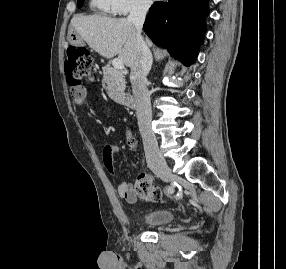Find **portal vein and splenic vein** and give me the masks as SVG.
Wrapping results in <instances>:
<instances>
[{
    "mask_svg": "<svg viewBox=\"0 0 286 269\" xmlns=\"http://www.w3.org/2000/svg\"><path fill=\"white\" fill-rule=\"evenodd\" d=\"M112 65L115 69L122 70L124 68V63L121 59H114Z\"/></svg>",
    "mask_w": 286,
    "mask_h": 269,
    "instance_id": "18ae733b",
    "label": "portal vein and splenic vein"
}]
</instances>
